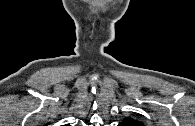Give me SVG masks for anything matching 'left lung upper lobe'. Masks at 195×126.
Listing matches in <instances>:
<instances>
[{"mask_svg": "<svg viewBox=\"0 0 195 126\" xmlns=\"http://www.w3.org/2000/svg\"><path fill=\"white\" fill-rule=\"evenodd\" d=\"M122 122L126 123L128 126H144L142 122L130 117L125 118Z\"/></svg>", "mask_w": 195, "mask_h": 126, "instance_id": "obj_1", "label": "left lung upper lobe"}]
</instances>
